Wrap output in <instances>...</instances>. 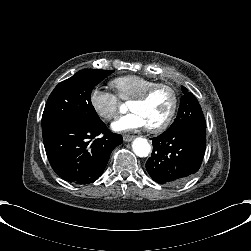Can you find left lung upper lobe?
Returning <instances> with one entry per match:
<instances>
[{
	"label": "left lung upper lobe",
	"mask_w": 251,
	"mask_h": 251,
	"mask_svg": "<svg viewBox=\"0 0 251 251\" xmlns=\"http://www.w3.org/2000/svg\"><path fill=\"white\" fill-rule=\"evenodd\" d=\"M181 89L183 91V96L181 98L177 117L165 132L189 125L206 127V121L197 98L184 86H181Z\"/></svg>",
	"instance_id": "obj_1"
}]
</instances>
